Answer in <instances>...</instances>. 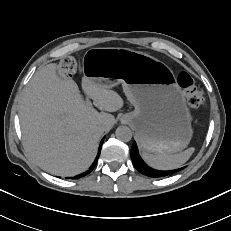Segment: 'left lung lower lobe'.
I'll list each match as a JSON object with an SVG mask.
<instances>
[{"label":"left lung lower lobe","mask_w":231,"mask_h":231,"mask_svg":"<svg viewBox=\"0 0 231 231\" xmlns=\"http://www.w3.org/2000/svg\"><path fill=\"white\" fill-rule=\"evenodd\" d=\"M131 158L135 168L140 173L154 178L173 175L182 169L180 168V169L169 170V171H158V170L151 169L143 162V160L139 156L138 149L135 142L133 143L131 148Z\"/></svg>","instance_id":"0a47b994"}]
</instances>
